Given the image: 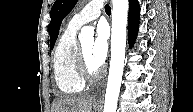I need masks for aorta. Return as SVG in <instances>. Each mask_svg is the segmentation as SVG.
Instances as JSON below:
<instances>
[{"label":"aorta","mask_w":193,"mask_h":112,"mask_svg":"<svg viewBox=\"0 0 193 112\" xmlns=\"http://www.w3.org/2000/svg\"><path fill=\"white\" fill-rule=\"evenodd\" d=\"M128 7V0H113L111 60L105 94L104 112H116L117 109L125 60ZM93 35L94 31L92 28L83 27L79 34V39L82 41L85 38H92Z\"/></svg>","instance_id":"obj_1"}]
</instances>
